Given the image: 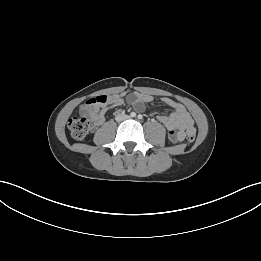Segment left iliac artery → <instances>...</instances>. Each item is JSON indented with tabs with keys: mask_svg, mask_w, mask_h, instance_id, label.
<instances>
[{
	"mask_svg": "<svg viewBox=\"0 0 261 261\" xmlns=\"http://www.w3.org/2000/svg\"><path fill=\"white\" fill-rule=\"evenodd\" d=\"M137 117H138V119H142L143 118L141 114H139Z\"/></svg>",
	"mask_w": 261,
	"mask_h": 261,
	"instance_id": "44dca946",
	"label": "left iliac artery"
}]
</instances>
